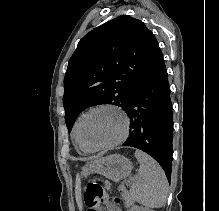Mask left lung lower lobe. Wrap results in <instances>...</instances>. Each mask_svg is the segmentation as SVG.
Returning a JSON list of instances; mask_svg holds the SVG:
<instances>
[{"instance_id":"left-lung-lower-lobe-1","label":"left lung lower lobe","mask_w":219,"mask_h":211,"mask_svg":"<svg viewBox=\"0 0 219 211\" xmlns=\"http://www.w3.org/2000/svg\"><path fill=\"white\" fill-rule=\"evenodd\" d=\"M130 118L123 146L138 148L153 157L171 178L173 112L164 59L137 84L124 110Z\"/></svg>"}]
</instances>
